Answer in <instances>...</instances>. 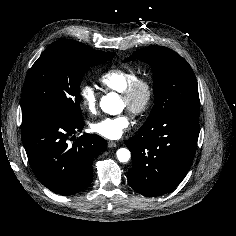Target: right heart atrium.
I'll use <instances>...</instances> for the list:
<instances>
[{
  "mask_svg": "<svg viewBox=\"0 0 236 236\" xmlns=\"http://www.w3.org/2000/svg\"><path fill=\"white\" fill-rule=\"evenodd\" d=\"M82 106L91 114H95L98 108V93L90 84H83L79 89Z\"/></svg>",
  "mask_w": 236,
  "mask_h": 236,
  "instance_id": "obj_1",
  "label": "right heart atrium"
}]
</instances>
